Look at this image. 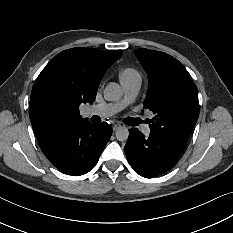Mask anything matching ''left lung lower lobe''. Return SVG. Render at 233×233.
<instances>
[{"mask_svg": "<svg viewBox=\"0 0 233 233\" xmlns=\"http://www.w3.org/2000/svg\"><path fill=\"white\" fill-rule=\"evenodd\" d=\"M186 145L187 141L152 133L145 137L132 128L124 150L131 167L142 177L152 178L175 166Z\"/></svg>", "mask_w": 233, "mask_h": 233, "instance_id": "left-lung-lower-lobe-1", "label": "left lung lower lobe"}]
</instances>
